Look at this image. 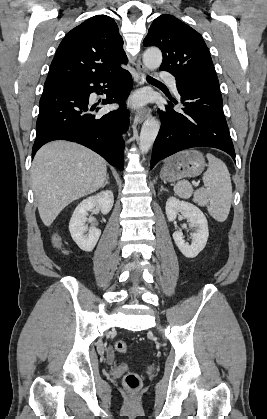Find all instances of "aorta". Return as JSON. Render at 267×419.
Returning a JSON list of instances; mask_svg holds the SVG:
<instances>
[{"instance_id": "1", "label": "aorta", "mask_w": 267, "mask_h": 419, "mask_svg": "<svg viewBox=\"0 0 267 419\" xmlns=\"http://www.w3.org/2000/svg\"><path fill=\"white\" fill-rule=\"evenodd\" d=\"M143 63L146 68L154 70L162 63V53L157 48H149L144 52ZM160 129V122L155 117H149L142 125L140 132L139 148L142 153H147L153 145Z\"/></svg>"}]
</instances>
